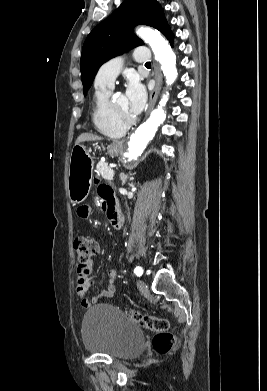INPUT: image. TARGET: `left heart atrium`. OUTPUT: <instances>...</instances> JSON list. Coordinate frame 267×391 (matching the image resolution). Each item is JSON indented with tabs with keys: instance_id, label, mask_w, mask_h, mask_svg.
Wrapping results in <instances>:
<instances>
[{
	"instance_id": "left-heart-atrium-1",
	"label": "left heart atrium",
	"mask_w": 267,
	"mask_h": 391,
	"mask_svg": "<svg viewBox=\"0 0 267 391\" xmlns=\"http://www.w3.org/2000/svg\"><path fill=\"white\" fill-rule=\"evenodd\" d=\"M128 109L135 116L144 108L146 92L143 85L135 78L129 80L125 94Z\"/></svg>"
}]
</instances>
